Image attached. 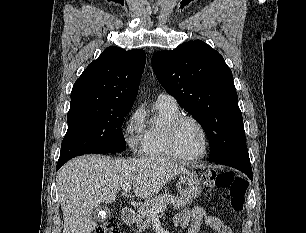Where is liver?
<instances>
[{
    "label": "liver",
    "instance_id": "1",
    "mask_svg": "<svg viewBox=\"0 0 306 233\" xmlns=\"http://www.w3.org/2000/svg\"><path fill=\"white\" fill-rule=\"evenodd\" d=\"M184 166L161 158L112 159L84 155L67 162L57 175L63 212V233H91L97 226L92 212L101 202L111 204L123 186H133L139 198H150L181 173Z\"/></svg>",
    "mask_w": 306,
    "mask_h": 233
}]
</instances>
